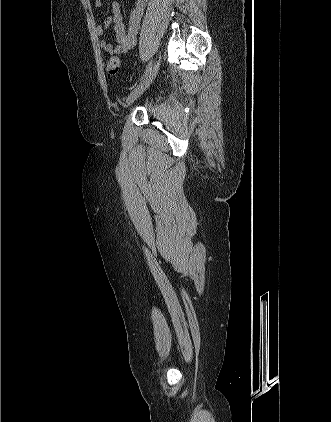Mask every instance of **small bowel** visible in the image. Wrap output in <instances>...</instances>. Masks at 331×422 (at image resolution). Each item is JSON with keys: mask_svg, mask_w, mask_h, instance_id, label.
Returning a JSON list of instances; mask_svg holds the SVG:
<instances>
[{"mask_svg": "<svg viewBox=\"0 0 331 422\" xmlns=\"http://www.w3.org/2000/svg\"><path fill=\"white\" fill-rule=\"evenodd\" d=\"M148 0H136L135 7L132 10L127 27L123 23L121 7L119 2L115 1L111 5V12L106 16L103 23L97 24L95 31L99 36L106 33L109 26L113 23V31L117 44H112L109 40L103 39L100 42L101 48L109 55L116 56L124 54L135 46L136 35L139 29L140 21L143 16ZM96 8L102 6V0H94Z\"/></svg>", "mask_w": 331, "mask_h": 422, "instance_id": "obj_1", "label": "small bowel"}]
</instances>
